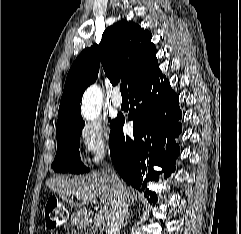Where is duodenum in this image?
<instances>
[{
	"label": "duodenum",
	"instance_id": "duodenum-1",
	"mask_svg": "<svg viewBox=\"0 0 241 234\" xmlns=\"http://www.w3.org/2000/svg\"><path fill=\"white\" fill-rule=\"evenodd\" d=\"M81 221H82L83 223L86 222V215H85V214H81Z\"/></svg>",
	"mask_w": 241,
	"mask_h": 234
}]
</instances>
